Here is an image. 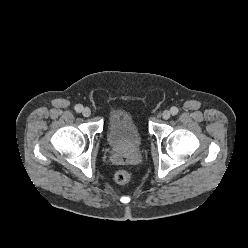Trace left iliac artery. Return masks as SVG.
Here are the masks:
<instances>
[{
	"mask_svg": "<svg viewBox=\"0 0 248 248\" xmlns=\"http://www.w3.org/2000/svg\"><path fill=\"white\" fill-rule=\"evenodd\" d=\"M178 111H179L178 108L175 107V106L171 108L172 115H177L178 114Z\"/></svg>",
	"mask_w": 248,
	"mask_h": 248,
	"instance_id": "left-iliac-artery-1",
	"label": "left iliac artery"
}]
</instances>
